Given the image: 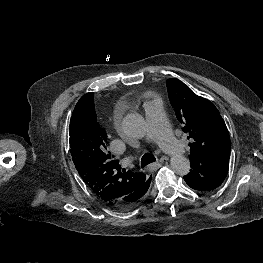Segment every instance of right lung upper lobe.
<instances>
[{"label": "right lung upper lobe", "instance_id": "1", "mask_svg": "<svg viewBox=\"0 0 263 263\" xmlns=\"http://www.w3.org/2000/svg\"><path fill=\"white\" fill-rule=\"evenodd\" d=\"M70 152L75 167L91 190L108 206L130 208L151 182L143 173L121 171L118 160L107 151V135L97 121L94 95H83L70 120Z\"/></svg>", "mask_w": 263, "mask_h": 263}]
</instances>
